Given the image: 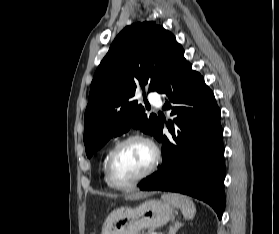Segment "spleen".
Here are the masks:
<instances>
[{
	"label": "spleen",
	"instance_id": "3e777b00",
	"mask_svg": "<svg viewBox=\"0 0 279 234\" xmlns=\"http://www.w3.org/2000/svg\"><path fill=\"white\" fill-rule=\"evenodd\" d=\"M162 199L174 207L180 208L183 216L186 219H193L196 213V207L193 201L185 196L179 194H166Z\"/></svg>",
	"mask_w": 279,
	"mask_h": 234
}]
</instances>
